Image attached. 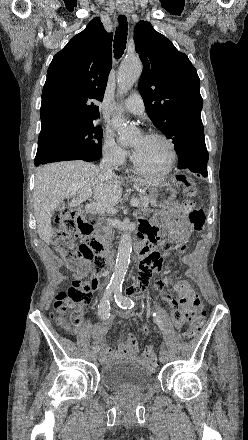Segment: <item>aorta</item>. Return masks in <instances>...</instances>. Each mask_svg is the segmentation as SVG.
<instances>
[{"label": "aorta", "instance_id": "762f6f07", "mask_svg": "<svg viewBox=\"0 0 248 440\" xmlns=\"http://www.w3.org/2000/svg\"><path fill=\"white\" fill-rule=\"evenodd\" d=\"M142 73V63L138 58H127L120 65L118 72V90L121 94L127 93L134 83L140 78ZM112 124L119 135V142L123 145L129 144L136 136L134 127L127 124L121 115H115L112 118ZM132 252L131 233L126 230L121 235L118 247L116 264L110 281V287L118 289L122 286L125 274L127 272L130 255Z\"/></svg>", "mask_w": 248, "mask_h": 440}]
</instances>
